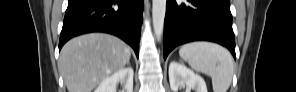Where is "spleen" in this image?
<instances>
[{
  "label": "spleen",
  "instance_id": "1",
  "mask_svg": "<svg viewBox=\"0 0 296 92\" xmlns=\"http://www.w3.org/2000/svg\"><path fill=\"white\" fill-rule=\"evenodd\" d=\"M179 55L195 71L211 77L214 92H227L232 82L233 59L225 48L210 42H192L183 45Z\"/></svg>",
  "mask_w": 296,
  "mask_h": 92
}]
</instances>
